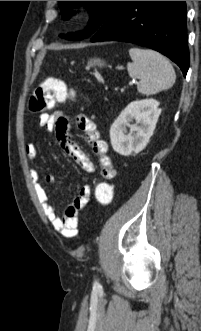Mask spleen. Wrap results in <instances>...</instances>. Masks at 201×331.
Segmentation results:
<instances>
[{"mask_svg":"<svg viewBox=\"0 0 201 331\" xmlns=\"http://www.w3.org/2000/svg\"><path fill=\"white\" fill-rule=\"evenodd\" d=\"M131 63L127 64L128 74L140 80L138 92L156 94L173 86L176 74L172 64L159 52L150 49L130 48Z\"/></svg>","mask_w":201,"mask_h":331,"instance_id":"1","label":"spleen"}]
</instances>
